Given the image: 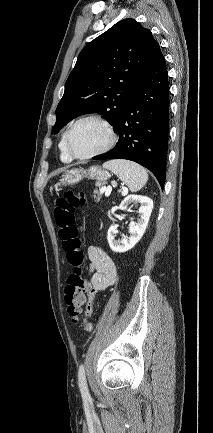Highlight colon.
<instances>
[{
    "label": "colon",
    "instance_id": "1",
    "mask_svg": "<svg viewBox=\"0 0 213 433\" xmlns=\"http://www.w3.org/2000/svg\"><path fill=\"white\" fill-rule=\"evenodd\" d=\"M86 197L83 192L75 193L67 191L58 198L54 208V218L58 226V236L69 263L74 267V272L69 276L64 291V302L68 315L72 321L77 322L86 309L87 290L89 282L83 276L84 253L81 250V240L78 229L75 226V210L85 205ZM85 331H92L93 325L85 320Z\"/></svg>",
    "mask_w": 213,
    "mask_h": 433
}]
</instances>
